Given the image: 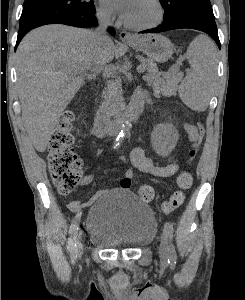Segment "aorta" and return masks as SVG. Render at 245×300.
I'll return each instance as SVG.
<instances>
[{"mask_svg": "<svg viewBox=\"0 0 245 300\" xmlns=\"http://www.w3.org/2000/svg\"><path fill=\"white\" fill-rule=\"evenodd\" d=\"M127 130H128V126H125V127L121 130V132H120V134H119V136H118V138H117V140H116V145H117V146H119V145L122 143L124 137L126 136Z\"/></svg>", "mask_w": 245, "mask_h": 300, "instance_id": "762f6f07", "label": "aorta"}]
</instances>
